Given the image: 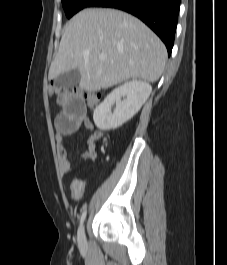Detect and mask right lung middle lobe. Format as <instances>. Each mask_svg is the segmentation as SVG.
Listing matches in <instances>:
<instances>
[{"label": "right lung middle lobe", "mask_w": 227, "mask_h": 265, "mask_svg": "<svg viewBox=\"0 0 227 265\" xmlns=\"http://www.w3.org/2000/svg\"><path fill=\"white\" fill-rule=\"evenodd\" d=\"M93 0H62L67 18L72 17L79 10L88 7Z\"/></svg>", "instance_id": "1"}]
</instances>
